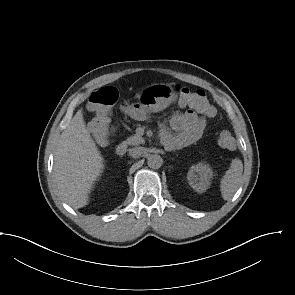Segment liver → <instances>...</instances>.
<instances>
[{
    "label": "liver",
    "mask_w": 295,
    "mask_h": 295,
    "mask_svg": "<svg viewBox=\"0 0 295 295\" xmlns=\"http://www.w3.org/2000/svg\"><path fill=\"white\" fill-rule=\"evenodd\" d=\"M103 169L104 158L78 110L60 135L54 154V179L64 201L74 209L87 205Z\"/></svg>",
    "instance_id": "1"
}]
</instances>
